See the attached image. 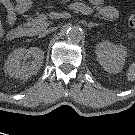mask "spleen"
Masks as SVG:
<instances>
[{"instance_id":"obj_1","label":"spleen","mask_w":135,"mask_h":135,"mask_svg":"<svg viewBox=\"0 0 135 135\" xmlns=\"http://www.w3.org/2000/svg\"><path fill=\"white\" fill-rule=\"evenodd\" d=\"M126 76L129 82L135 81V62L130 65L129 69L127 70Z\"/></svg>"}]
</instances>
